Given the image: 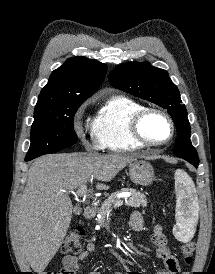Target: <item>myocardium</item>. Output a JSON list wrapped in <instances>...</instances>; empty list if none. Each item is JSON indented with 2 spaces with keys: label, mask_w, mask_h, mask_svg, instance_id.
<instances>
[{
  "label": "myocardium",
  "mask_w": 215,
  "mask_h": 274,
  "mask_svg": "<svg viewBox=\"0 0 215 274\" xmlns=\"http://www.w3.org/2000/svg\"><path fill=\"white\" fill-rule=\"evenodd\" d=\"M152 113L159 114L163 116L169 126H170V135L169 137L162 141V142H152L149 139L145 137V135L142 132V123L145 120V118ZM130 132L133 136V138L141 143L144 146L148 147H162L170 143L175 135V124L172 119V117L164 110L159 109V108H154V107H144L140 111H138L131 119L130 121Z\"/></svg>",
  "instance_id": "myocardium-1"
}]
</instances>
